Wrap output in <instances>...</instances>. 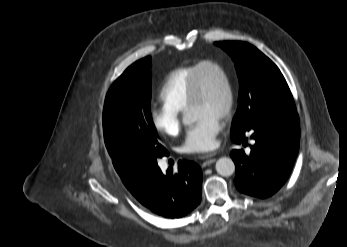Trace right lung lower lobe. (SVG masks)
<instances>
[{"mask_svg": "<svg viewBox=\"0 0 347 247\" xmlns=\"http://www.w3.org/2000/svg\"><path fill=\"white\" fill-rule=\"evenodd\" d=\"M132 195L152 212L179 218L197 207L201 200L202 172L191 161H179L178 170L162 173L157 160L136 164L120 175Z\"/></svg>", "mask_w": 347, "mask_h": 247, "instance_id": "98d812e1", "label": "right lung lower lobe"}]
</instances>
